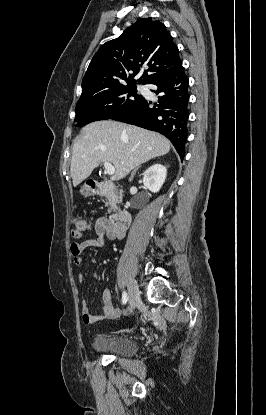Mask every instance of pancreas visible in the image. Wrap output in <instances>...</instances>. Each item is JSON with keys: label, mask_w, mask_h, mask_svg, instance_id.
<instances>
[{"label": "pancreas", "mask_w": 266, "mask_h": 415, "mask_svg": "<svg viewBox=\"0 0 266 415\" xmlns=\"http://www.w3.org/2000/svg\"><path fill=\"white\" fill-rule=\"evenodd\" d=\"M104 196L107 199L106 206L110 207L108 212H111V211L115 212L117 210L116 204L118 202V196L114 193V190L110 188L105 190Z\"/></svg>", "instance_id": "pancreas-1"}]
</instances>
